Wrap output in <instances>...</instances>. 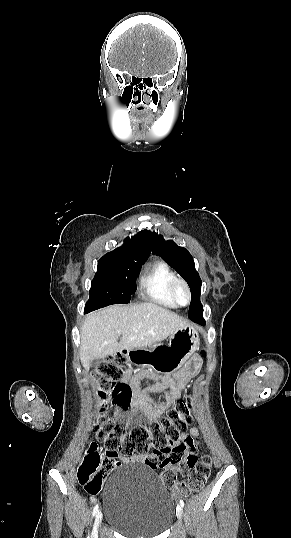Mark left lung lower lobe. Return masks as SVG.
I'll list each match as a JSON object with an SVG mask.
<instances>
[{"instance_id":"left-lung-lower-lobe-1","label":"left lung lower lobe","mask_w":291,"mask_h":538,"mask_svg":"<svg viewBox=\"0 0 291 538\" xmlns=\"http://www.w3.org/2000/svg\"><path fill=\"white\" fill-rule=\"evenodd\" d=\"M192 321L201 325L205 324V320L203 319V309L199 310L197 314L192 316Z\"/></svg>"}]
</instances>
